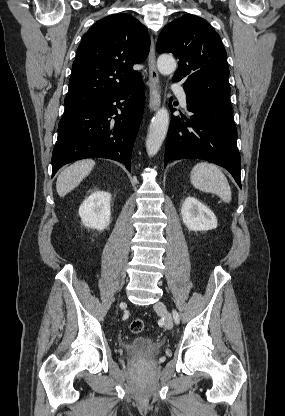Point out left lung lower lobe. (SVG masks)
Instances as JSON below:
<instances>
[{"label":"left lung lower lobe","instance_id":"1","mask_svg":"<svg viewBox=\"0 0 285 416\" xmlns=\"http://www.w3.org/2000/svg\"><path fill=\"white\" fill-rule=\"evenodd\" d=\"M187 109L193 115L185 125L181 121L184 118L172 116L164 167L170 160L203 159L226 168L241 188L237 129L231 107L187 98Z\"/></svg>","mask_w":285,"mask_h":416}]
</instances>
